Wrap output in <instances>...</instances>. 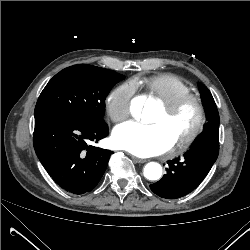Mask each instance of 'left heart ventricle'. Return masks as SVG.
I'll use <instances>...</instances> for the list:
<instances>
[{
    "instance_id": "obj_1",
    "label": "left heart ventricle",
    "mask_w": 250,
    "mask_h": 250,
    "mask_svg": "<svg viewBox=\"0 0 250 250\" xmlns=\"http://www.w3.org/2000/svg\"><path fill=\"white\" fill-rule=\"evenodd\" d=\"M196 121V110L192 104L184 106L171 117L165 115L163 107L152 120L153 124L162 125L172 136L174 141L185 135Z\"/></svg>"
}]
</instances>
